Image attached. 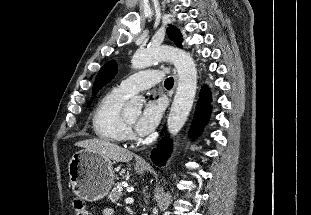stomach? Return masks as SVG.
<instances>
[{
    "label": "stomach",
    "mask_w": 311,
    "mask_h": 215,
    "mask_svg": "<svg viewBox=\"0 0 311 215\" xmlns=\"http://www.w3.org/2000/svg\"><path fill=\"white\" fill-rule=\"evenodd\" d=\"M135 170L138 174L145 172L144 167L136 166ZM68 173L75 194L86 201L104 198L113 185L112 162L86 149L72 155Z\"/></svg>",
    "instance_id": "obj_1"
}]
</instances>
